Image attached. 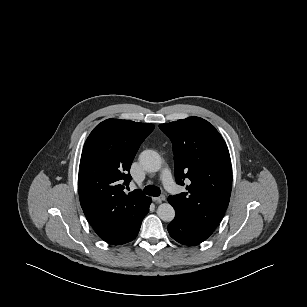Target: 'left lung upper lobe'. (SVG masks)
Wrapping results in <instances>:
<instances>
[{"mask_svg":"<svg viewBox=\"0 0 307 307\" xmlns=\"http://www.w3.org/2000/svg\"><path fill=\"white\" fill-rule=\"evenodd\" d=\"M173 144L175 179H189L187 193L169 196L175 211L200 230L212 234L229 204L232 167L229 151L208 121L189 117L160 124Z\"/></svg>","mask_w":307,"mask_h":307,"instance_id":"1","label":"left lung upper lobe"}]
</instances>
